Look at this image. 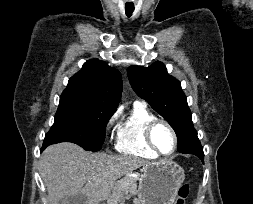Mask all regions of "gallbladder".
Wrapping results in <instances>:
<instances>
[{
    "label": "gallbladder",
    "mask_w": 253,
    "mask_h": 204,
    "mask_svg": "<svg viewBox=\"0 0 253 204\" xmlns=\"http://www.w3.org/2000/svg\"><path fill=\"white\" fill-rule=\"evenodd\" d=\"M86 197L84 195L78 194L75 196H70L63 199L59 204H85Z\"/></svg>",
    "instance_id": "1"
}]
</instances>
